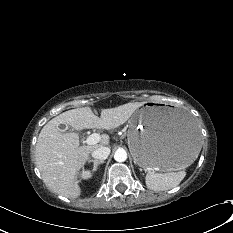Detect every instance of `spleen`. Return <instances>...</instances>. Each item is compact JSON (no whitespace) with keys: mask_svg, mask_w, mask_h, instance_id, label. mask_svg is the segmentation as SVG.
Returning <instances> with one entry per match:
<instances>
[{"mask_svg":"<svg viewBox=\"0 0 233 233\" xmlns=\"http://www.w3.org/2000/svg\"><path fill=\"white\" fill-rule=\"evenodd\" d=\"M184 177V171L167 173L148 172L145 182L149 189L155 191H165L178 186Z\"/></svg>","mask_w":233,"mask_h":233,"instance_id":"1","label":"spleen"}]
</instances>
